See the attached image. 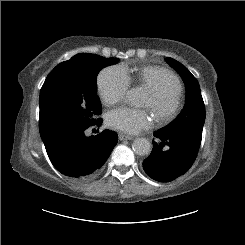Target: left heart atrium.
<instances>
[{
	"label": "left heart atrium",
	"instance_id": "obj_1",
	"mask_svg": "<svg viewBox=\"0 0 245 245\" xmlns=\"http://www.w3.org/2000/svg\"><path fill=\"white\" fill-rule=\"evenodd\" d=\"M109 128L128 134H137L152 126L153 121L145 110L120 107L112 110L106 119Z\"/></svg>",
	"mask_w": 245,
	"mask_h": 245
}]
</instances>
